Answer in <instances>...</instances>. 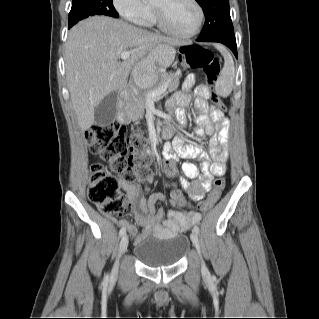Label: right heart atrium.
Instances as JSON below:
<instances>
[{"label":"right heart atrium","mask_w":319,"mask_h":319,"mask_svg":"<svg viewBox=\"0 0 319 319\" xmlns=\"http://www.w3.org/2000/svg\"><path fill=\"white\" fill-rule=\"evenodd\" d=\"M114 7L130 23L145 25L148 5L143 0H114Z\"/></svg>","instance_id":"d8ad5b80"}]
</instances>
